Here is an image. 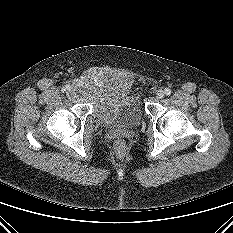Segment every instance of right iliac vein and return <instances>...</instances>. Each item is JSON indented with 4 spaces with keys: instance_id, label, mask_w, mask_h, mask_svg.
Wrapping results in <instances>:
<instances>
[{
    "instance_id": "right-iliac-vein-1",
    "label": "right iliac vein",
    "mask_w": 233,
    "mask_h": 233,
    "mask_svg": "<svg viewBox=\"0 0 233 233\" xmlns=\"http://www.w3.org/2000/svg\"><path fill=\"white\" fill-rule=\"evenodd\" d=\"M68 92H69V93H71V92H72V89H71V88H70V89H68Z\"/></svg>"
}]
</instances>
